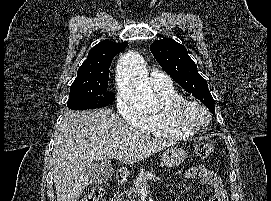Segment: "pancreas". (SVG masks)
Wrapping results in <instances>:
<instances>
[{"label":"pancreas","instance_id":"1","mask_svg":"<svg viewBox=\"0 0 271 201\" xmlns=\"http://www.w3.org/2000/svg\"><path fill=\"white\" fill-rule=\"evenodd\" d=\"M158 181H160V178L152 172H142L135 180H133L132 186L129 188V190L125 191L123 194H121V196H118L116 201H122L121 197H123L124 194L127 196V199L124 201H138L141 188L147 187L149 183Z\"/></svg>","mask_w":271,"mask_h":201}]
</instances>
